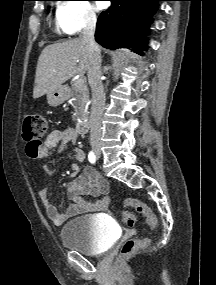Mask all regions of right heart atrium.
I'll return each instance as SVG.
<instances>
[{
    "mask_svg": "<svg viewBox=\"0 0 216 285\" xmlns=\"http://www.w3.org/2000/svg\"><path fill=\"white\" fill-rule=\"evenodd\" d=\"M56 18L60 29L68 35L93 27L97 22L95 9L88 0L60 2L57 6Z\"/></svg>",
    "mask_w": 216,
    "mask_h": 285,
    "instance_id": "1",
    "label": "right heart atrium"
}]
</instances>
